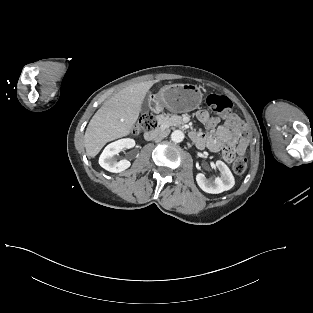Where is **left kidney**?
<instances>
[{
  "label": "left kidney",
  "instance_id": "left-kidney-1",
  "mask_svg": "<svg viewBox=\"0 0 313 313\" xmlns=\"http://www.w3.org/2000/svg\"><path fill=\"white\" fill-rule=\"evenodd\" d=\"M216 167L220 171V176L214 180H208L203 173L196 175L197 184L204 192L211 194L222 193L230 190L235 184L234 176L224 162L216 161Z\"/></svg>",
  "mask_w": 313,
  "mask_h": 313
}]
</instances>
